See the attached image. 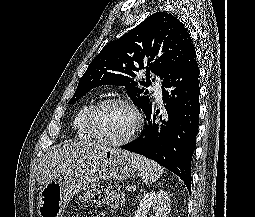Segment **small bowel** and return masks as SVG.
I'll return each mask as SVG.
<instances>
[{
    "label": "small bowel",
    "mask_w": 255,
    "mask_h": 217,
    "mask_svg": "<svg viewBox=\"0 0 255 217\" xmlns=\"http://www.w3.org/2000/svg\"><path fill=\"white\" fill-rule=\"evenodd\" d=\"M89 217H104V216H101V215H93V216H89Z\"/></svg>",
    "instance_id": "1"
}]
</instances>
